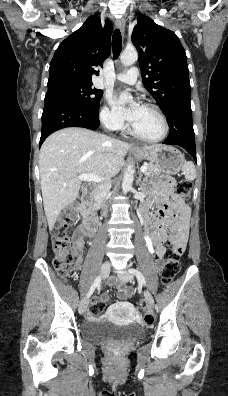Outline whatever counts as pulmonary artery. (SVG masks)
<instances>
[{
    "label": "pulmonary artery",
    "mask_w": 228,
    "mask_h": 396,
    "mask_svg": "<svg viewBox=\"0 0 228 396\" xmlns=\"http://www.w3.org/2000/svg\"><path fill=\"white\" fill-rule=\"evenodd\" d=\"M137 77H138V70L135 67H133L126 72L117 74L115 76V79L117 81L132 85L136 83Z\"/></svg>",
    "instance_id": "e3ab8cb5"
}]
</instances>
